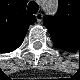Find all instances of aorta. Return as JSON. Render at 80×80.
Masks as SVG:
<instances>
[{"mask_svg": "<svg viewBox=\"0 0 80 80\" xmlns=\"http://www.w3.org/2000/svg\"><path fill=\"white\" fill-rule=\"evenodd\" d=\"M47 9H49V11H51V12H56V10H57V6L56 5H48V7H47Z\"/></svg>", "mask_w": 80, "mask_h": 80, "instance_id": "1", "label": "aorta"}]
</instances>
